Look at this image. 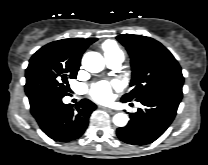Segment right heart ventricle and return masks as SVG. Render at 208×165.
<instances>
[{
	"instance_id": "right-heart-ventricle-1",
	"label": "right heart ventricle",
	"mask_w": 208,
	"mask_h": 165,
	"mask_svg": "<svg viewBox=\"0 0 208 165\" xmlns=\"http://www.w3.org/2000/svg\"><path fill=\"white\" fill-rule=\"evenodd\" d=\"M103 49H104V52H105V56L112 55V54H118V55H121L124 58L122 50L113 41L105 42L104 45H103Z\"/></svg>"
}]
</instances>
